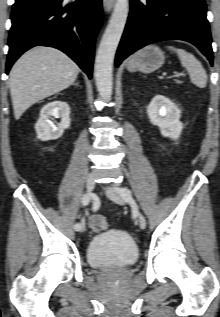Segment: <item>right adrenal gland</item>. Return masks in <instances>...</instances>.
<instances>
[{
	"mask_svg": "<svg viewBox=\"0 0 220 317\" xmlns=\"http://www.w3.org/2000/svg\"><path fill=\"white\" fill-rule=\"evenodd\" d=\"M73 85L78 86V83H74Z\"/></svg>",
	"mask_w": 220,
	"mask_h": 317,
	"instance_id": "right-adrenal-gland-1",
	"label": "right adrenal gland"
}]
</instances>
